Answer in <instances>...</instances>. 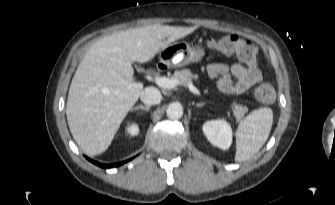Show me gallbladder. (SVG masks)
I'll return each instance as SVG.
<instances>
[{
  "label": "gallbladder",
  "mask_w": 335,
  "mask_h": 205,
  "mask_svg": "<svg viewBox=\"0 0 335 205\" xmlns=\"http://www.w3.org/2000/svg\"><path fill=\"white\" fill-rule=\"evenodd\" d=\"M138 70L140 71V70H141V68H140V67H138Z\"/></svg>",
  "instance_id": "gallbladder-1"
}]
</instances>
